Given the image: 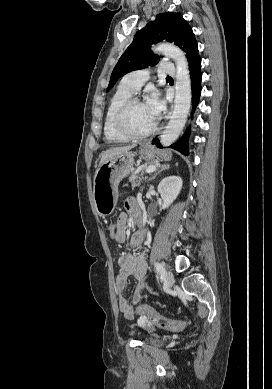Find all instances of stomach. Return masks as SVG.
<instances>
[{"label": "stomach", "mask_w": 272, "mask_h": 389, "mask_svg": "<svg viewBox=\"0 0 272 389\" xmlns=\"http://www.w3.org/2000/svg\"><path fill=\"white\" fill-rule=\"evenodd\" d=\"M144 160H153L156 157L168 160L171 153L167 150H156L150 145H142L139 150ZM134 169V154L122 153L107 160L97 169L94 177L93 199L97 213L102 216L110 215L118 201L119 182L127 177Z\"/></svg>", "instance_id": "1"}]
</instances>
